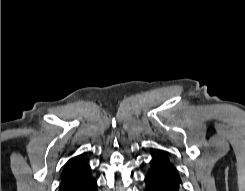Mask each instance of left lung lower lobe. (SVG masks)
I'll return each mask as SVG.
<instances>
[{
    "mask_svg": "<svg viewBox=\"0 0 245 191\" xmlns=\"http://www.w3.org/2000/svg\"><path fill=\"white\" fill-rule=\"evenodd\" d=\"M144 191H182V180L172 161L160 152L150 161Z\"/></svg>",
    "mask_w": 245,
    "mask_h": 191,
    "instance_id": "1",
    "label": "left lung lower lobe"
}]
</instances>
